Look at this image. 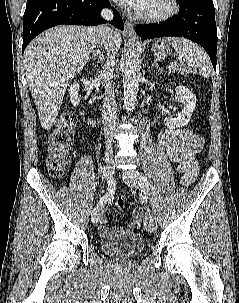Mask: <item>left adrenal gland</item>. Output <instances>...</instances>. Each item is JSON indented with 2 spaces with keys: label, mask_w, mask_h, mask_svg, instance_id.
<instances>
[{
  "label": "left adrenal gland",
  "mask_w": 239,
  "mask_h": 303,
  "mask_svg": "<svg viewBox=\"0 0 239 303\" xmlns=\"http://www.w3.org/2000/svg\"><path fill=\"white\" fill-rule=\"evenodd\" d=\"M152 68H156V69L160 70V67H159L157 61L154 60V63L152 64Z\"/></svg>",
  "instance_id": "1"
}]
</instances>
